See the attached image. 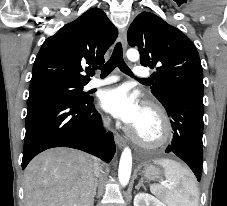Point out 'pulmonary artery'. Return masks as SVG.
<instances>
[{
    "instance_id": "1",
    "label": "pulmonary artery",
    "mask_w": 227,
    "mask_h": 206,
    "mask_svg": "<svg viewBox=\"0 0 227 206\" xmlns=\"http://www.w3.org/2000/svg\"><path fill=\"white\" fill-rule=\"evenodd\" d=\"M133 75L137 78H147L150 76V72L144 67L136 66L133 69ZM118 80H119V77L117 76H108L106 78H94L87 83L86 89L101 87L104 85L114 83Z\"/></svg>"
}]
</instances>
